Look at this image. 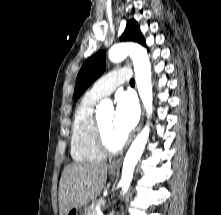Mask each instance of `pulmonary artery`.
Masks as SVG:
<instances>
[{"label":"pulmonary artery","mask_w":221,"mask_h":215,"mask_svg":"<svg viewBox=\"0 0 221 215\" xmlns=\"http://www.w3.org/2000/svg\"><path fill=\"white\" fill-rule=\"evenodd\" d=\"M131 71L127 68L117 69L100 78L88 92L100 99L111 94L119 85L129 82Z\"/></svg>","instance_id":"e3ab8cb5"}]
</instances>
